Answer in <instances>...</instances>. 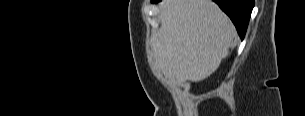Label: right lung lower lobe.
Here are the masks:
<instances>
[{
    "label": "right lung lower lobe",
    "mask_w": 305,
    "mask_h": 116,
    "mask_svg": "<svg viewBox=\"0 0 305 116\" xmlns=\"http://www.w3.org/2000/svg\"><path fill=\"white\" fill-rule=\"evenodd\" d=\"M159 2L160 0H152ZM230 17L241 39L244 38L254 0H213Z\"/></svg>",
    "instance_id": "98d812e1"
}]
</instances>
